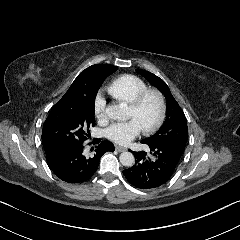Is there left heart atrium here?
I'll return each instance as SVG.
<instances>
[{
	"label": "left heart atrium",
	"mask_w": 240,
	"mask_h": 240,
	"mask_svg": "<svg viewBox=\"0 0 240 240\" xmlns=\"http://www.w3.org/2000/svg\"><path fill=\"white\" fill-rule=\"evenodd\" d=\"M141 131L139 123L135 119L112 125L106 132L111 141L119 145H127L136 138Z\"/></svg>",
	"instance_id": "1"
}]
</instances>
